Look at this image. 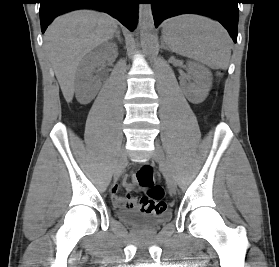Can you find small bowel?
Listing matches in <instances>:
<instances>
[{
	"label": "small bowel",
	"mask_w": 279,
	"mask_h": 267,
	"mask_svg": "<svg viewBox=\"0 0 279 267\" xmlns=\"http://www.w3.org/2000/svg\"><path fill=\"white\" fill-rule=\"evenodd\" d=\"M124 186L128 191H131L134 188L133 183L128 178H126L124 180ZM111 198H112L113 204L118 207H124V208L131 209V208H134L137 203L136 198H133L129 195L122 196V195L118 194L117 185H114L111 188Z\"/></svg>",
	"instance_id": "c3829d8e"
}]
</instances>
